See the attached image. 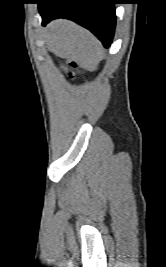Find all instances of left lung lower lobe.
<instances>
[{
    "mask_svg": "<svg viewBox=\"0 0 166 267\" xmlns=\"http://www.w3.org/2000/svg\"><path fill=\"white\" fill-rule=\"evenodd\" d=\"M36 3L43 26L55 18L70 19L94 33L104 47L110 46L117 0H37Z\"/></svg>",
    "mask_w": 166,
    "mask_h": 267,
    "instance_id": "left-lung-lower-lobe-1",
    "label": "left lung lower lobe"
}]
</instances>
